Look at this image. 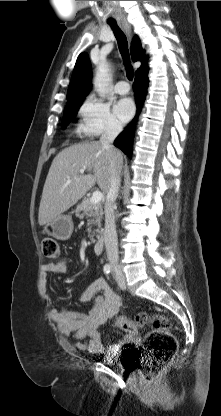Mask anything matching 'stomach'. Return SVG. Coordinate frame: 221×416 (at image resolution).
<instances>
[{
	"instance_id": "obj_1",
	"label": "stomach",
	"mask_w": 221,
	"mask_h": 416,
	"mask_svg": "<svg viewBox=\"0 0 221 416\" xmlns=\"http://www.w3.org/2000/svg\"><path fill=\"white\" fill-rule=\"evenodd\" d=\"M74 225L70 215H59L44 225L43 232L58 240H68L73 233Z\"/></svg>"
}]
</instances>
